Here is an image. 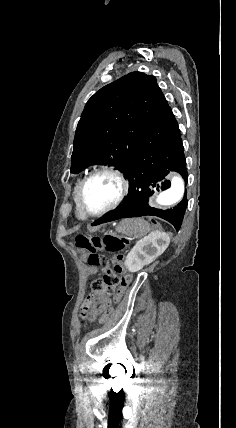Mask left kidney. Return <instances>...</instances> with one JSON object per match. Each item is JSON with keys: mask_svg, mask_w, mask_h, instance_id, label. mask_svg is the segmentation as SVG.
Instances as JSON below:
<instances>
[{"mask_svg": "<svg viewBox=\"0 0 236 428\" xmlns=\"http://www.w3.org/2000/svg\"><path fill=\"white\" fill-rule=\"evenodd\" d=\"M169 244L170 238L168 234H164L160 230L150 232L149 236L139 240L126 256V268H128L129 272H139L143 266L152 264L158 256H161Z\"/></svg>", "mask_w": 236, "mask_h": 428, "instance_id": "1", "label": "left kidney"}]
</instances>
